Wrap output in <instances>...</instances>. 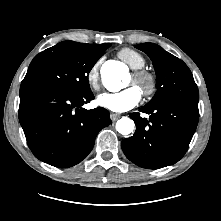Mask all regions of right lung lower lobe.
Segmentation results:
<instances>
[{"label": "right lung lower lobe", "mask_w": 221, "mask_h": 221, "mask_svg": "<svg viewBox=\"0 0 221 221\" xmlns=\"http://www.w3.org/2000/svg\"><path fill=\"white\" fill-rule=\"evenodd\" d=\"M93 99L91 91L74 94L47 85L21 86L19 121L35 157L59 168L81 162L99 131L111 123L108 110L82 108Z\"/></svg>", "instance_id": "obj_1"}]
</instances>
